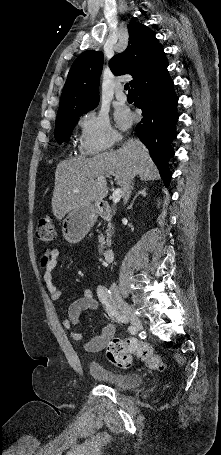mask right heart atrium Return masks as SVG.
<instances>
[{"label":"right heart atrium","mask_w":221,"mask_h":455,"mask_svg":"<svg viewBox=\"0 0 221 455\" xmlns=\"http://www.w3.org/2000/svg\"><path fill=\"white\" fill-rule=\"evenodd\" d=\"M79 150L84 155H94L109 151L120 138L106 114L90 110L79 121Z\"/></svg>","instance_id":"right-heart-atrium-1"}]
</instances>
